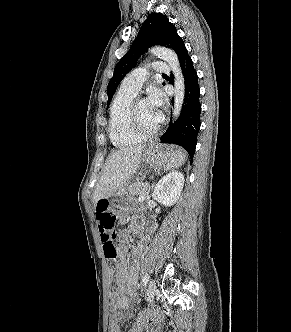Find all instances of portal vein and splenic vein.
<instances>
[{"label":"portal vein and splenic vein","mask_w":291,"mask_h":332,"mask_svg":"<svg viewBox=\"0 0 291 332\" xmlns=\"http://www.w3.org/2000/svg\"><path fill=\"white\" fill-rule=\"evenodd\" d=\"M145 197H139V201H143Z\"/></svg>","instance_id":"18ae733b"}]
</instances>
